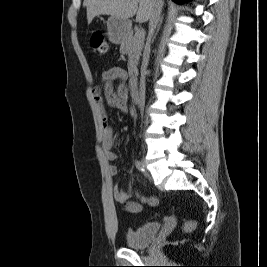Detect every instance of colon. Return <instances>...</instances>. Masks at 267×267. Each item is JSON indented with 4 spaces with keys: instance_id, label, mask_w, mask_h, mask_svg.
Wrapping results in <instances>:
<instances>
[{
    "instance_id": "obj_1",
    "label": "colon",
    "mask_w": 267,
    "mask_h": 267,
    "mask_svg": "<svg viewBox=\"0 0 267 267\" xmlns=\"http://www.w3.org/2000/svg\"><path fill=\"white\" fill-rule=\"evenodd\" d=\"M91 46L93 47L94 51L99 55H105L109 52L110 47L108 42L105 40L102 34L95 33L91 37ZM194 228V223L192 221H189L185 223L184 230L186 232L192 231Z\"/></svg>"
}]
</instances>
